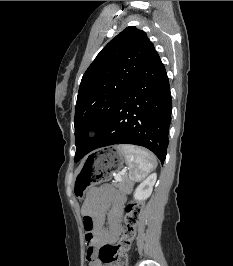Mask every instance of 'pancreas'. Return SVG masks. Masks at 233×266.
<instances>
[{
    "instance_id": "cf45deb5",
    "label": "pancreas",
    "mask_w": 233,
    "mask_h": 266,
    "mask_svg": "<svg viewBox=\"0 0 233 266\" xmlns=\"http://www.w3.org/2000/svg\"><path fill=\"white\" fill-rule=\"evenodd\" d=\"M126 184H129V182L128 181L121 182L119 184V187H125Z\"/></svg>"
}]
</instances>
